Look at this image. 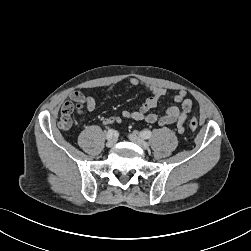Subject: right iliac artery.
Returning <instances> with one entry per match:
<instances>
[{
    "instance_id": "obj_1",
    "label": "right iliac artery",
    "mask_w": 251,
    "mask_h": 251,
    "mask_svg": "<svg viewBox=\"0 0 251 251\" xmlns=\"http://www.w3.org/2000/svg\"><path fill=\"white\" fill-rule=\"evenodd\" d=\"M114 134H115V131L113 129H109L107 134H106V139L107 140L111 139Z\"/></svg>"
}]
</instances>
